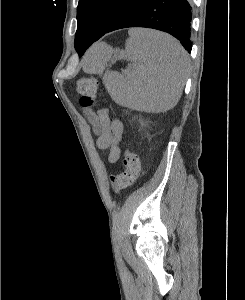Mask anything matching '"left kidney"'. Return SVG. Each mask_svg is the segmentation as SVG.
Masks as SVG:
<instances>
[{
  "mask_svg": "<svg viewBox=\"0 0 245 300\" xmlns=\"http://www.w3.org/2000/svg\"><path fill=\"white\" fill-rule=\"evenodd\" d=\"M140 123H141L142 126L145 125V123L142 120H140Z\"/></svg>",
  "mask_w": 245,
  "mask_h": 300,
  "instance_id": "left-kidney-1",
  "label": "left kidney"
}]
</instances>
